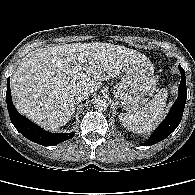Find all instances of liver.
Segmentation results:
<instances>
[{"mask_svg":"<svg viewBox=\"0 0 195 195\" xmlns=\"http://www.w3.org/2000/svg\"><path fill=\"white\" fill-rule=\"evenodd\" d=\"M144 54L111 43H73L28 53L11 77V93L19 113L47 130L70 121L76 101L73 92L84 87L93 93L102 81L128 69ZM83 64V71L77 65Z\"/></svg>","mask_w":195,"mask_h":195,"instance_id":"1","label":"liver"}]
</instances>
